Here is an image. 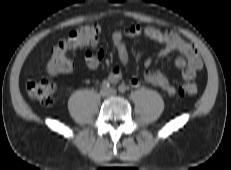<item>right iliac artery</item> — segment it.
Segmentation results:
<instances>
[{
  "label": "right iliac artery",
  "instance_id": "1",
  "mask_svg": "<svg viewBox=\"0 0 231 170\" xmlns=\"http://www.w3.org/2000/svg\"><path fill=\"white\" fill-rule=\"evenodd\" d=\"M102 87L105 88V89H107V88L110 87V83H109L107 80H104V81L102 82Z\"/></svg>",
  "mask_w": 231,
  "mask_h": 170
}]
</instances>
